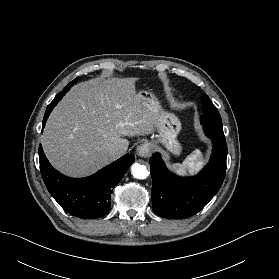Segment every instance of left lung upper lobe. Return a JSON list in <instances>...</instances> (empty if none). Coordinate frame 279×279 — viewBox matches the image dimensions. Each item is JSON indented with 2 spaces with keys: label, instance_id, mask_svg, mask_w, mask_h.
Masks as SVG:
<instances>
[{
  "label": "left lung upper lobe",
  "instance_id": "left-lung-upper-lobe-1",
  "mask_svg": "<svg viewBox=\"0 0 279 279\" xmlns=\"http://www.w3.org/2000/svg\"><path fill=\"white\" fill-rule=\"evenodd\" d=\"M201 102L203 106V115L201 118L203 129L214 135L225 138L221 117L216 107L213 105L206 94H203Z\"/></svg>",
  "mask_w": 279,
  "mask_h": 279
}]
</instances>
